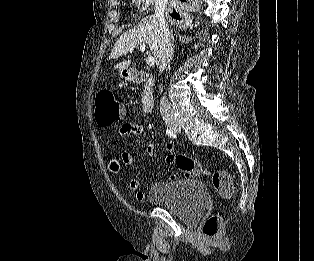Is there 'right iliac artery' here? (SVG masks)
<instances>
[{"label": "right iliac artery", "mask_w": 314, "mask_h": 261, "mask_svg": "<svg viewBox=\"0 0 314 261\" xmlns=\"http://www.w3.org/2000/svg\"><path fill=\"white\" fill-rule=\"evenodd\" d=\"M166 133H167V135H168L169 137H171V138H176L175 132H173L171 129L167 128V129H166Z\"/></svg>", "instance_id": "right-iliac-artery-1"}]
</instances>
